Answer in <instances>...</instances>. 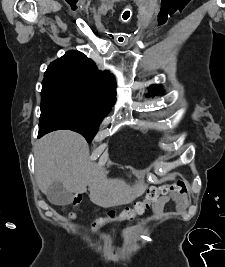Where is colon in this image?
Here are the masks:
<instances>
[{"mask_svg": "<svg viewBox=\"0 0 225 267\" xmlns=\"http://www.w3.org/2000/svg\"><path fill=\"white\" fill-rule=\"evenodd\" d=\"M127 14H130V11L127 10ZM187 188L186 182L183 179L176 180L171 185H162V186H151L146 194V198L142 201L137 202L133 207H128L121 211L120 213L109 212L108 215L98 218L93 223V229L98 230L101 227L111 224L117 223L123 220L132 219L137 215L143 214L147 211L150 206L156 202L160 197L166 196L170 193H183ZM73 206H77L79 204V199L75 198L73 200ZM74 216V214H71Z\"/></svg>", "mask_w": 225, "mask_h": 267, "instance_id": "obj_1", "label": "colon"}]
</instances>
